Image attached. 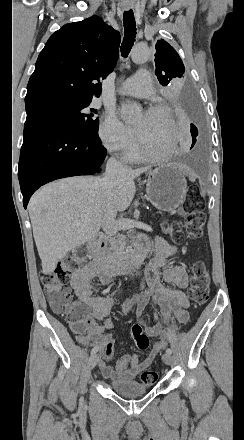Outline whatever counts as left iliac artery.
I'll use <instances>...</instances> for the list:
<instances>
[{"label": "left iliac artery", "mask_w": 244, "mask_h": 440, "mask_svg": "<svg viewBox=\"0 0 244 440\" xmlns=\"http://www.w3.org/2000/svg\"><path fill=\"white\" fill-rule=\"evenodd\" d=\"M154 317H155V319L158 318V316H157L156 313L154 314ZM166 353L172 354V350H171L170 348H167V349H166Z\"/></svg>", "instance_id": "44dca946"}]
</instances>
